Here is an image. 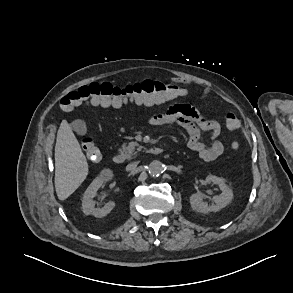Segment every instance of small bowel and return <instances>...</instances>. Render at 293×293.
Returning <instances> with one entry per match:
<instances>
[{"instance_id": "1", "label": "small bowel", "mask_w": 293, "mask_h": 293, "mask_svg": "<svg viewBox=\"0 0 293 293\" xmlns=\"http://www.w3.org/2000/svg\"><path fill=\"white\" fill-rule=\"evenodd\" d=\"M209 93L208 89L204 90L202 94L203 99H206ZM162 102L164 101L140 99L136 101V104L153 106ZM149 124L155 127L165 125H178L182 127L188 136V148L206 162L214 161L224 151L223 143L219 140L220 125L216 121L203 118L199 110L193 105L174 104L165 112L150 117ZM202 131L210 133L209 144H205L200 140Z\"/></svg>"}]
</instances>
